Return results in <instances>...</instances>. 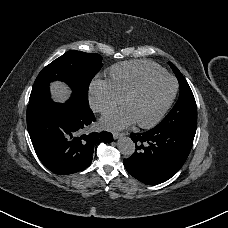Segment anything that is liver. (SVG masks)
Masks as SVG:
<instances>
[{"label":"liver","instance_id":"6515ba94","mask_svg":"<svg viewBox=\"0 0 228 228\" xmlns=\"http://www.w3.org/2000/svg\"><path fill=\"white\" fill-rule=\"evenodd\" d=\"M53 92L55 94V96L58 98V100H61L65 97L68 96L69 91L67 90V88L62 85L61 83H57L55 85H53Z\"/></svg>","mask_w":228,"mask_h":228}]
</instances>
